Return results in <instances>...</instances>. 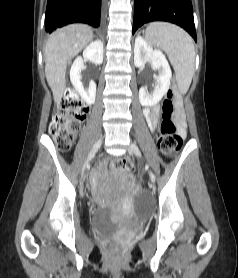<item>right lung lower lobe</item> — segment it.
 Wrapping results in <instances>:
<instances>
[{"mask_svg":"<svg viewBox=\"0 0 238 278\" xmlns=\"http://www.w3.org/2000/svg\"><path fill=\"white\" fill-rule=\"evenodd\" d=\"M104 0H48L45 15V29H55L71 23H86L93 27L100 25Z\"/></svg>","mask_w":238,"mask_h":278,"instance_id":"98d812e1","label":"right lung lower lobe"}]
</instances>
